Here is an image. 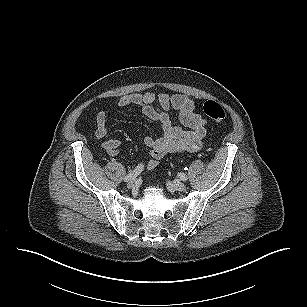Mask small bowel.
I'll list each match as a JSON object with an SVG mask.
<instances>
[{
  "mask_svg": "<svg viewBox=\"0 0 307 307\" xmlns=\"http://www.w3.org/2000/svg\"><path fill=\"white\" fill-rule=\"evenodd\" d=\"M118 104L120 107L139 106L143 113L161 126V135L146 136L145 144L150 148L148 169L157 166L159 161L171 153L195 152L202 148L203 139L207 134V121L195 112V102L183 94L169 95L153 92L132 93L123 95ZM178 111L179 120L184 128L175 125L168 111ZM110 116L100 111L96 116L95 136L104 139L107 136V122ZM102 146L109 156L118 153L121 142L117 139H106Z\"/></svg>",
  "mask_w": 307,
  "mask_h": 307,
  "instance_id": "obj_1",
  "label": "small bowel"
}]
</instances>
